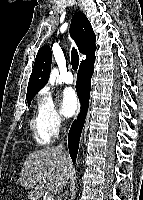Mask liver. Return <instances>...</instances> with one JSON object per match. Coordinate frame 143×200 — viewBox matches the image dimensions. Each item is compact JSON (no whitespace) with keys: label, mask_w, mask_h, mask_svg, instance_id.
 <instances>
[{"label":"liver","mask_w":143,"mask_h":200,"mask_svg":"<svg viewBox=\"0 0 143 200\" xmlns=\"http://www.w3.org/2000/svg\"><path fill=\"white\" fill-rule=\"evenodd\" d=\"M46 181L42 182L43 173ZM71 176V161L62 148L46 147L30 153L20 173V184L30 190L29 200H39L45 189L58 194Z\"/></svg>","instance_id":"6515ba94"}]
</instances>
